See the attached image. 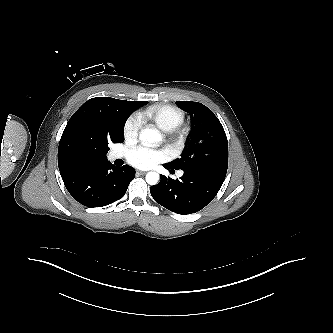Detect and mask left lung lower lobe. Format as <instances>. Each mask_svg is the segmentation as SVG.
Here are the masks:
<instances>
[{"label": "left lung lower lobe", "instance_id": "left-lung-lower-lobe-1", "mask_svg": "<svg viewBox=\"0 0 333 333\" xmlns=\"http://www.w3.org/2000/svg\"><path fill=\"white\" fill-rule=\"evenodd\" d=\"M163 166L172 171L166 164ZM183 172L179 180L161 175L160 182L150 188V193L166 209L186 215L200 211L214 199L227 171L200 168Z\"/></svg>", "mask_w": 333, "mask_h": 333}]
</instances>
